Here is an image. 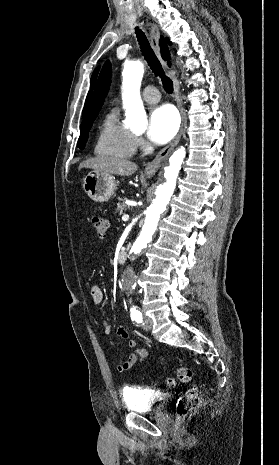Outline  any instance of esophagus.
<instances>
[{"instance_id":"1","label":"esophagus","mask_w":279,"mask_h":465,"mask_svg":"<svg viewBox=\"0 0 279 465\" xmlns=\"http://www.w3.org/2000/svg\"><path fill=\"white\" fill-rule=\"evenodd\" d=\"M148 27H149V37H150L153 50L158 56V58L161 60L163 66L166 67V63L161 59L160 46H159L160 31L155 24L149 23ZM171 78L173 80L175 99H176L178 108L181 113L182 123H181L180 130L177 136L175 137V139L170 144H168L166 147H164L156 155V157L146 165L144 172L147 176H153L159 170V168L165 162V160L170 155V153L173 151L175 146L179 143L182 132H183L184 114H183V109H182L181 101H180L179 83L176 77L171 76Z\"/></svg>"}]
</instances>
